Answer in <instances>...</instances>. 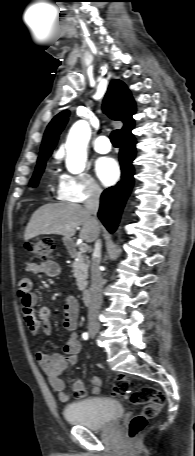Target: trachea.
I'll return each mask as SVG.
<instances>
[{"instance_id": "1", "label": "trachea", "mask_w": 195, "mask_h": 456, "mask_svg": "<svg viewBox=\"0 0 195 456\" xmlns=\"http://www.w3.org/2000/svg\"><path fill=\"white\" fill-rule=\"evenodd\" d=\"M110 140L114 146H119L121 140V134L119 130L112 131Z\"/></svg>"}]
</instances>
